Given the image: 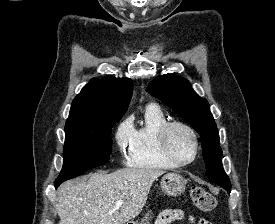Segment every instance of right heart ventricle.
<instances>
[{
  "mask_svg": "<svg viewBox=\"0 0 275 224\" xmlns=\"http://www.w3.org/2000/svg\"><path fill=\"white\" fill-rule=\"evenodd\" d=\"M167 122L159 107H146L141 125L133 127L128 166L143 170H171L177 167L162 155L158 145L159 131Z\"/></svg>",
  "mask_w": 275,
  "mask_h": 224,
  "instance_id": "obj_1",
  "label": "right heart ventricle"
}]
</instances>
